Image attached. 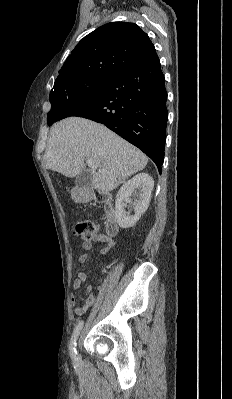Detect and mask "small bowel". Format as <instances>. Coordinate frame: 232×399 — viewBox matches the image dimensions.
I'll list each match as a JSON object with an SVG mask.
<instances>
[{
	"label": "small bowel",
	"instance_id": "1",
	"mask_svg": "<svg viewBox=\"0 0 232 399\" xmlns=\"http://www.w3.org/2000/svg\"><path fill=\"white\" fill-rule=\"evenodd\" d=\"M92 242L90 241H85L82 243V253L80 254L79 257V261L81 263H84L87 258H88V254L92 249ZM113 246L112 242H107L100 250H99V255L100 256H104L107 254V252L109 251V249ZM87 278V274L85 271H79L78 272V276L77 278L73 281L72 287L74 290V293L71 294L70 296V307L73 311L74 314L76 315H82L85 313V311L92 305L93 303V298L91 296V292H92V284H88L86 286V292L88 293V296L86 297L85 301L83 302L82 305H77V301H78V291L80 289V286L82 284V282H84Z\"/></svg>",
	"mask_w": 232,
	"mask_h": 399
}]
</instances>
